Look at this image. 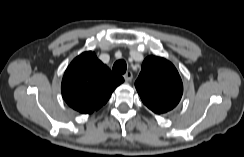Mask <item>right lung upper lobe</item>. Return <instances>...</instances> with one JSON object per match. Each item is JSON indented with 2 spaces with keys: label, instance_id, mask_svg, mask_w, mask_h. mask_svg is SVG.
<instances>
[{
  "label": "right lung upper lobe",
  "instance_id": "1",
  "mask_svg": "<svg viewBox=\"0 0 244 157\" xmlns=\"http://www.w3.org/2000/svg\"><path fill=\"white\" fill-rule=\"evenodd\" d=\"M123 81L98 60L95 53L84 52L66 69L61 85L62 96L70 107L89 114L104 105Z\"/></svg>",
  "mask_w": 244,
  "mask_h": 157
}]
</instances>
